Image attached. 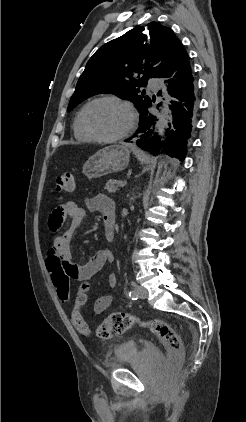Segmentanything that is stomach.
I'll list each match as a JSON object with an SVG mask.
<instances>
[{"label": "stomach", "instance_id": "stomach-1", "mask_svg": "<svg viewBox=\"0 0 246 422\" xmlns=\"http://www.w3.org/2000/svg\"><path fill=\"white\" fill-rule=\"evenodd\" d=\"M130 150L120 144L110 145L97 151L83 165V173L89 178H98L124 170L129 164Z\"/></svg>", "mask_w": 246, "mask_h": 422}]
</instances>
